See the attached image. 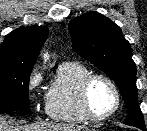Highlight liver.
<instances>
[{
    "mask_svg": "<svg viewBox=\"0 0 147 131\" xmlns=\"http://www.w3.org/2000/svg\"><path fill=\"white\" fill-rule=\"evenodd\" d=\"M7 117L0 115V131H87L84 126L73 124L38 123L13 127L8 125Z\"/></svg>",
    "mask_w": 147,
    "mask_h": 131,
    "instance_id": "liver-1",
    "label": "liver"
}]
</instances>
